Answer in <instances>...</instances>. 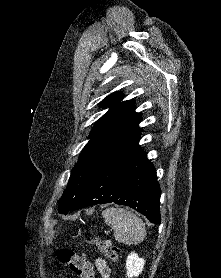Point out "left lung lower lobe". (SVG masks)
Wrapping results in <instances>:
<instances>
[{"label": "left lung lower lobe", "instance_id": "obj_1", "mask_svg": "<svg viewBox=\"0 0 221 278\" xmlns=\"http://www.w3.org/2000/svg\"><path fill=\"white\" fill-rule=\"evenodd\" d=\"M138 142L139 138L105 165L72 210L116 203L137 210L152 223H161L156 169Z\"/></svg>", "mask_w": 221, "mask_h": 278}]
</instances>
